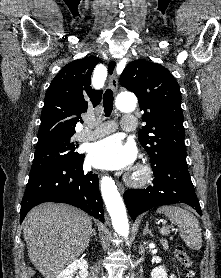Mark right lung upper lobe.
<instances>
[{
	"label": "right lung upper lobe",
	"instance_id": "right-lung-upper-lobe-1",
	"mask_svg": "<svg viewBox=\"0 0 221 278\" xmlns=\"http://www.w3.org/2000/svg\"><path fill=\"white\" fill-rule=\"evenodd\" d=\"M102 62L95 56L75 60L52 80L44 99L38 142L72 136L81 114L100 103L102 90L90 86L94 67Z\"/></svg>",
	"mask_w": 221,
	"mask_h": 278
}]
</instances>
